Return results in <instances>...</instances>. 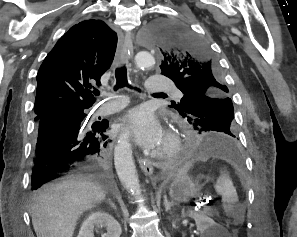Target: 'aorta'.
Instances as JSON below:
<instances>
[{
	"instance_id": "762f6f07",
	"label": "aorta",
	"mask_w": 297,
	"mask_h": 237,
	"mask_svg": "<svg viewBox=\"0 0 297 237\" xmlns=\"http://www.w3.org/2000/svg\"><path fill=\"white\" fill-rule=\"evenodd\" d=\"M136 66L140 69L151 68L155 64L154 57L148 52H139L135 56ZM114 161L117 174L126 190L132 195L139 196L141 192L136 167L132 156V147L129 142V133L119 136L114 150Z\"/></svg>"
}]
</instances>
